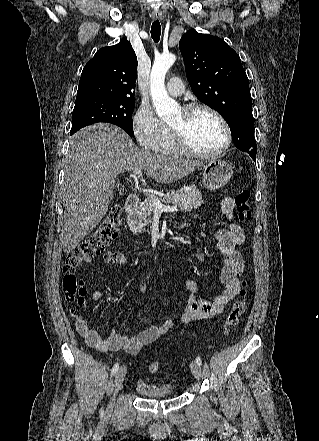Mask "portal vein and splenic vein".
<instances>
[{
    "mask_svg": "<svg viewBox=\"0 0 319 441\" xmlns=\"http://www.w3.org/2000/svg\"><path fill=\"white\" fill-rule=\"evenodd\" d=\"M141 173V169L140 168H135L133 170V175L132 176H136L139 175ZM150 198L153 201V205H154V211L157 214H161L162 212H175L178 210V208L176 206H165L163 205L158 198L155 197V195L151 194L149 195Z\"/></svg>",
    "mask_w": 319,
    "mask_h": 441,
    "instance_id": "portal-vein-and-splenic-vein-1",
    "label": "portal vein and splenic vein"
}]
</instances>
